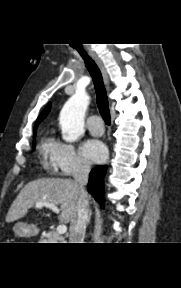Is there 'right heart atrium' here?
Listing matches in <instances>:
<instances>
[{
    "label": "right heart atrium",
    "mask_w": 181,
    "mask_h": 288,
    "mask_svg": "<svg viewBox=\"0 0 181 288\" xmlns=\"http://www.w3.org/2000/svg\"><path fill=\"white\" fill-rule=\"evenodd\" d=\"M46 154L50 167L58 175L72 176L90 169L89 163L71 143L52 140L47 146Z\"/></svg>",
    "instance_id": "d8ad5b80"
}]
</instances>
